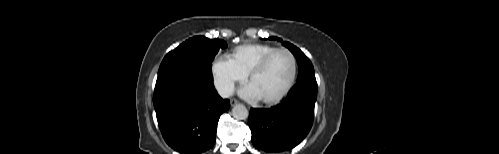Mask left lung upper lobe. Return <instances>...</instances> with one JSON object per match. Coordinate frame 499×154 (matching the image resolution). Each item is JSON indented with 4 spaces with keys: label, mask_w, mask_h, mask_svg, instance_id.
<instances>
[{
    "label": "left lung upper lobe",
    "mask_w": 499,
    "mask_h": 154,
    "mask_svg": "<svg viewBox=\"0 0 499 154\" xmlns=\"http://www.w3.org/2000/svg\"><path fill=\"white\" fill-rule=\"evenodd\" d=\"M269 39L281 41V39L277 37H270ZM282 44L287 47L297 59L299 67L297 82L302 80H316L314 68L309 58H307V56L293 44L286 41L282 42Z\"/></svg>",
    "instance_id": "5c2ea615"
}]
</instances>
